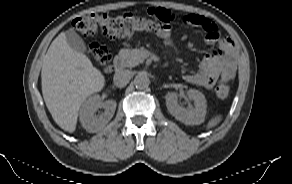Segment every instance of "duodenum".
I'll use <instances>...</instances> for the list:
<instances>
[{"label": "duodenum", "instance_id": "duodenum-1", "mask_svg": "<svg viewBox=\"0 0 292 184\" xmlns=\"http://www.w3.org/2000/svg\"><path fill=\"white\" fill-rule=\"evenodd\" d=\"M113 66L116 71L121 72L124 68V58L122 56H117L114 59Z\"/></svg>", "mask_w": 292, "mask_h": 184}]
</instances>
